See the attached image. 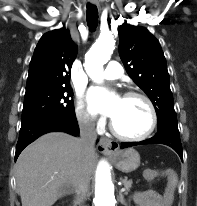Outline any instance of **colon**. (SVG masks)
<instances>
[{
  "instance_id": "1",
  "label": "colon",
  "mask_w": 197,
  "mask_h": 206,
  "mask_svg": "<svg viewBox=\"0 0 197 206\" xmlns=\"http://www.w3.org/2000/svg\"><path fill=\"white\" fill-rule=\"evenodd\" d=\"M174 190H175V183L170 182L169 185L167 186L165 196H164L165 206H170V204L173 200Z\"/></svg>"
}]
</instances>
